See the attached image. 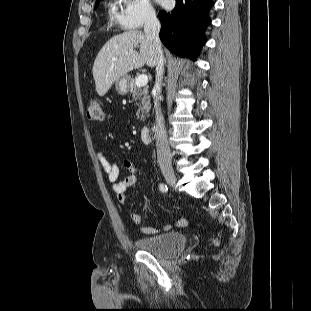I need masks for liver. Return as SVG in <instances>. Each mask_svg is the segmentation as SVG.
<instances>
[{
  "label": "liver",
  "mask_w": 311,
  "mask_h": 311,
  "mask_svg": "<svg viewBox=\"0 0 311 311\" xmlns=\"http://www.w3.org/2000/svg\"><path fill=\"white\" fill-rule=\"evenodd\" d=\"M156 58L153 42L141 31L131 30L112 37L99 51L92 69L98 95L104 96L117 79L133 69L145 64L154 67Z\"/></svg>",
  "instance_id": "1"
}]
</instances>
